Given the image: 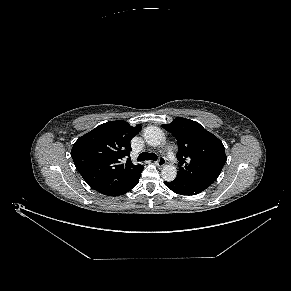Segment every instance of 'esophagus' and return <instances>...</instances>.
<instances>
[{"label":"esophagus","mask_w":291,"mask_h":291,"mask_svg":"<svg viewBox=\"0 0 291 291\" xmlns=\"http://www.w3.org/2000/svg\"><path fill=\"white\" fill-rule=\"evenodd\" d=\"M165 163H166V160L163 157H159V159L155 162V164L158 167H163L165 165Z\"/></svg>","instance_id":"34e87169"}]
</instances>
